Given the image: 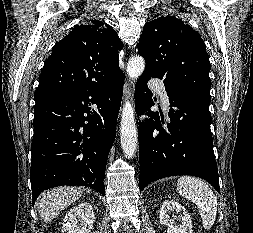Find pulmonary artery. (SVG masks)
Returning <instances> with one entry per match:
<instances>
[{
    "label": "pulmonary artery",
    "instance_id": "pulmonary-artery-1",
    "mask_svg": "<svg viewBox=\"0 0 253 233\" xmlns=\"http://www.w3.org/2000/svg\"><path fill=\"white\" fill-rule=\"evenodd\" d=\"M150 87L155 90L157 95L160 97L162 104L167 107L169 104L168 93L164 84L159 80H152Z\"/></svg>",
    "mask_w": 253,
    "mask_h": 233
}]
</instances>
